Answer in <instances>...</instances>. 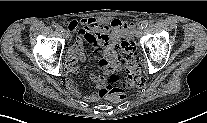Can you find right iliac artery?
I'll use <instances>...</instances> for the list:
<instances>
[{"instance_id":"1","label":"right iliac artery","mask_w":207,"mask_h":123,"mask_svg":"<svg viewBox=\"0 0 207 123\" xmlns=\"http://www.w3.org/2000/svg\"><path fill=\"white\" fill-rule=\"evenodd\" d=\"M56 29H57L58 31H60V32H63V28H62L61 26H59V25L56 26Z\"/></svg>"}]
</instances>
